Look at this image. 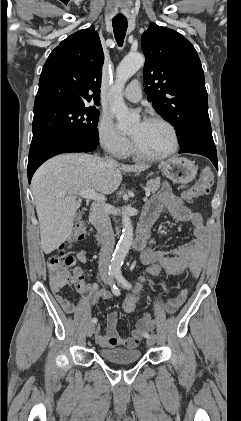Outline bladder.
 <instances>
[{"label":"bladder","mask_w":241,"mask_h":421,"mask_svg":"<svg viewBox=\"0 0 241 421\" xmlns=\"http://www.w3.org/2000/svg\"><path fill=\"white\" fill-rule=\"evenodd\" d=\"M99 356L112 364H131L137 362L141 353L137 349H100Z\"/></svg>","instance_id":"31cf9c89"}]
</instances>
